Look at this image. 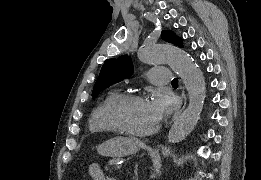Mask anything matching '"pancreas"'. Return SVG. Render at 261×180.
Returning a JSON list of instances; mask_svg holds the SVG:
<instances>
[{
    "instance_id": "obj_1",
    "label": "pancreas",
    "mask_w": 261,
    "mask_h": 180,
    "mask_svg": "<svg viewBox=\"0 0 261 180\" xmlns=\"http://www.w3.org/2000/svg\"><path fill=\"white\" fill-rule=\"evenodd\" d=\"M103 167H106L107 170H114V165H112V159H105L102 163Z\"/></svg>"
}]
</instances>
